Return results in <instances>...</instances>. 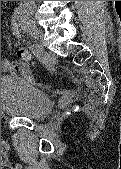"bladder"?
Here are the masks:
<instances>
[{"mask_svg": "<svg viewBox=\"0 0 121 169\" xmlns=\"http://www.w3.org/2000/svg\"><path fill=\"white\" fill-rule=\"evenodd\" d=\"M1 107L4 113L24 118H41L52 107L50 97L41 89L19 78H1Z\"/></svg>", "mask_w": 121, "mask_h": 169, "instance_id": "bladder-1", "label": "bladder"}]
</instances>
